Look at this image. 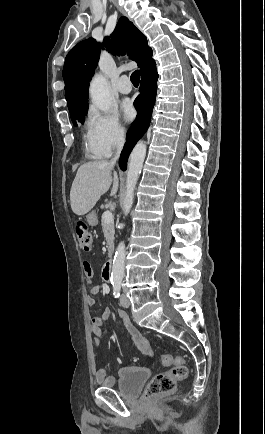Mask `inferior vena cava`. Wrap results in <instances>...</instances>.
<instances>
[{"mask_svg":"<svg viewBox=\"0 0 265 434\" xmlns=\"http://www.w3.org/2000/svg\"><path fill=\"white\" fill-rule=\"evenodd\" d=\"M123 144H124V136H123V134H120L119 140L117 142V154H116L115 158H113V160H111L110 164H115V162H117V160L120 156V152L123 148Z\"/></svg>","mask_w":265,"mask_h":434,"instance_id":"1","label":"inferior vena cava"}]
</instances>
